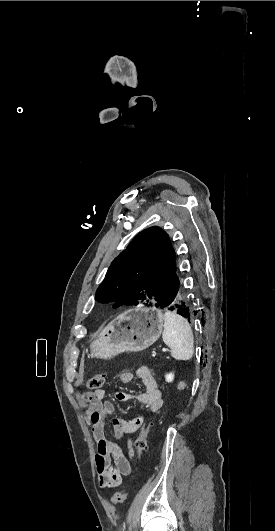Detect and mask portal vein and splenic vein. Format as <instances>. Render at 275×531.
Masks as SVG:
<instances>
[{
  "instance_id": "18ae733b",
  "label": "portal vein and splenic vein",
  "mask_w": 275,
  "mask_h": 531,
  "mask_svg": "<svg viewBox=\"0 0 275 531\" xmlns=\"http://www.w3.org/2000/svg\"><path fill=\"white\" fill-rule=\"evenodd\" d=\"M162 350H163V351H166V348H165V347H162Z\"/></svg>"
}]
</instances>
